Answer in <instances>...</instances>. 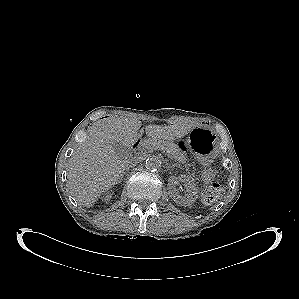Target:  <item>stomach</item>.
I'll return each mask as SVG.
<instances>
[{"label":"stomach","mask_w":299,"mask_h":299,"mask_svg":"<svg viewBox=\"0 0 299 299\" xmlns=\"http://www.w3.org/2000/svg\"><path fill=\"white\" fill-rule=\"evenodd\" d=\"M187 149L195 160L210 161L219 154L220 142L209 128L197 127L188 136Z\"/></svg>","instance_id":"obj_1"}]
</instances>
